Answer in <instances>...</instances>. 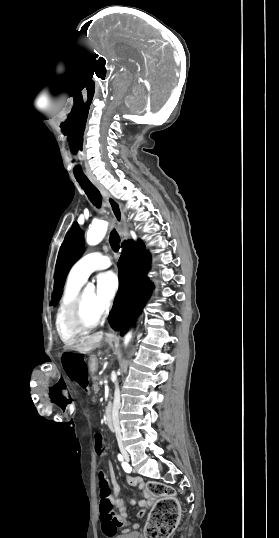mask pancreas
Listing matches in <instances>:
<instances>
[{"instance_id":"cf45deb5","label":"pancreas","mask_w":279,"mask_h":538,"mask_svg":"<svg viewBox=\"0 0 279 538\" xmlns=\"http://www.w3.org/2000/svg\"><path fill=\"white\" fill-rule=\"evenodd\" d=\"M93 380H94V392H95V394H97V392L99 390V386L97 384V382L99 380L98 376H94Z\"/></svg>"}]
</instances>
